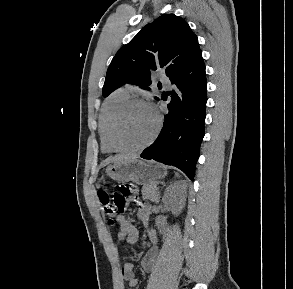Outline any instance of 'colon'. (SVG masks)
<instances>
[{
  "label": "colon",
  "mask_w": 293,
  "mask_h": 289,
  "mask_svg": "<svg viewBox=\"0 0 293 289\" xmlns=\"http://www.w3.org/2000/svg\"><path fill=\"white\" fill-rule=\"evenodd\" d=\"M134 193L135 186L133 184H121L117 186L113 194H109L104 190L98 191L102 213L108 218L111 224H113L114 217L117 213L126 210L128 204L134 198Z\"/></svg>",
  "instance_id": "colon-1"
}]
</instances>
